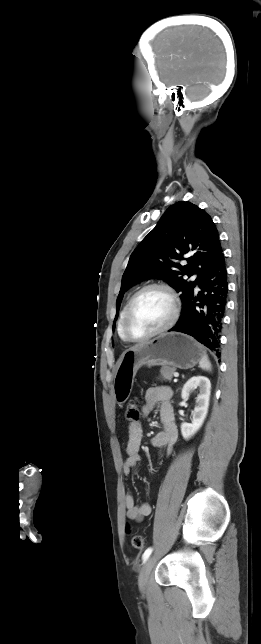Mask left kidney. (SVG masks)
<instances>
[{
    "instance_id": "obj_1",
    "label": "left kidney",
    "mask_w": 261,
    "mask_h": 644,
    "mask_svg": "<svg viewBox=\"0 0 261 644\" xmlns=\"http://www.w3.org/2000/svg\"><path fill=\"white\" fill-rule=\"evenodd\" d=\"M199 387L200 394L196 398V407L193 411L192 423H182L181 433L184 439H190L202 426L208 413L211 383L205 376H194L183 386L181 397L188 400L192 390Z\"/></svg>"
}]
</instances>
